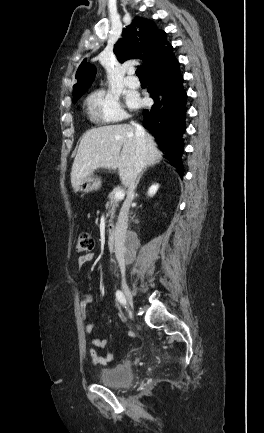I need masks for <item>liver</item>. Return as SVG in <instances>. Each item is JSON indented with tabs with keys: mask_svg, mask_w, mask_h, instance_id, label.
Listing matches in <instances>:
<instances>
[{
	"mask_svg": "<svg viewBox=\"0 0 264 433\" xmlns=\"http://www.w3.org/2000/svg\"><path fill=\"white\" fill-rule=\"evenodd\" d=\"M144 167L162 158L154 138L145 133ZM135 128L128 124L109 125L87 131L79 144L71 171V184L78 192L84 179L98 168L118 169L122 183L129 185L137 161Z\"/></svg>",
	"mask_w": 264,
	"mask_h": 433,
	"instance_id": "liver-1",
	"label": "liver"
}]
</instances>
